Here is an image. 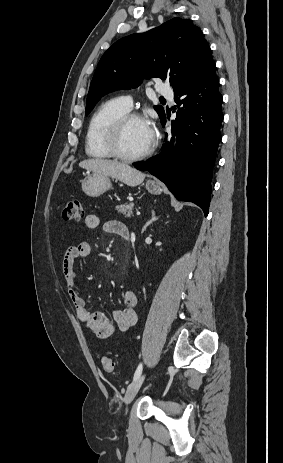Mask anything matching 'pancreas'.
<instances>
[{"mask_svg":"<svg viewBox=\"0 0 283 463\" xmlns=\"http://www.w3.org/2000/svg\"><path fill=\"white\" fill-rule=\"evenodd\" d=\"M134 203L130 204H123L116 207V210L119 214L123 215L124 217H131L133 215Z\"/></svg>","mask_w":283,"mask_h":463,"instance_id":"1","label":"pancreas"}]
</instances>
